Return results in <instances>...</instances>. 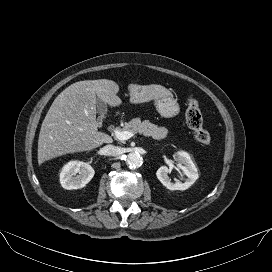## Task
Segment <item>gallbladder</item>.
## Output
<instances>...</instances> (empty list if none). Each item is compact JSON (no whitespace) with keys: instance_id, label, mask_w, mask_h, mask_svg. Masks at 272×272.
<instances>
[{"instance_id":"1","label":"gallbladder","mask_w":272,"mask_h":272,"mask_svg":"<svg viewBox=\"0 0 272 272\" xmlns=\"http://www.w3.org/2000/svg\"><path fill=\"white\" fill-rule=\"evenodd\" d=\"M96 107H97L98 114H99L97 121H98L99 126H101L103 121L106 118V114H107V111H108V106L100 98H97Z\"/></svg>"}]
</instances>
